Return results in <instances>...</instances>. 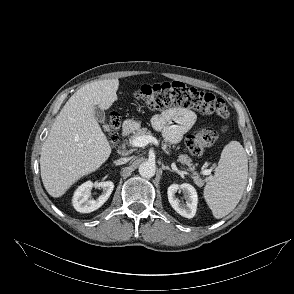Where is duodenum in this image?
<instances>
[{"label":"duodenum","mask_w":294,"mask_h":294,"mask_svg":"<svg viewBox=\"0 0 294 294\" xmlns=\"http://www.w3.org/2000/svg\"><path fill=\"white\" fill-rule=\"evenodd\" d=\"M134 129H135V123L132 120H126L124 121L122 125V135L126 137L130 135ZM120 151L121 153H126L125 148H121Z\"/></svg>","instance_id":"obj_1"}]
</instances>
